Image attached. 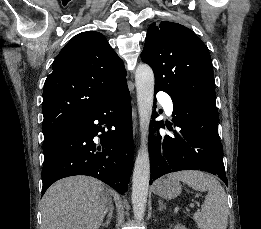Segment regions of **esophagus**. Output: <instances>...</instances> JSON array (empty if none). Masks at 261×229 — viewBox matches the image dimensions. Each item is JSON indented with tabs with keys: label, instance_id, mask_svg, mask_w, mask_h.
<instances>
[{
	"label": "esophagus",
	"instance_id": "obj_1",
	"mask_svg": "<svg viewBox=\"0 0 261 229\" xmlns=\"http://www.w3.org/2000/svg\"><path fill=\"white\" fill-rule=\"evenodd\" d=\"M132 118H133V133L136 135L137 133V110L135 105L132 108Z\"/></svg>",
	"mask_w": 261,
	"mask_h": 229
}]
</instances>
